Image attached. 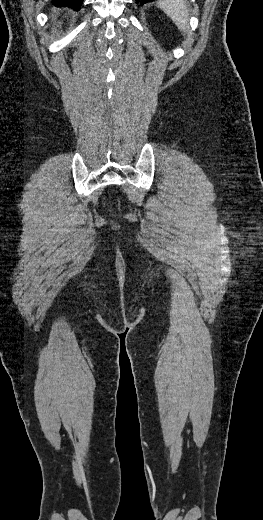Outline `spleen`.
<instances>
[{
  "label": "spleen",
  "instance_id": "obj_1",
  "mask_svg": "<svg viewBox=\"0 0 263 520\" xmlns=\"http://www.w3.org/2000/svg\"><path fill=\"white\" fill-rule=\"evenodd\" d=\"M159 7L172 19L180 31L189 29L190 10L186 0H159Z\"/></svg>",
  "mask_w": 263,
  "mask_h": 520
}]
</instances>
